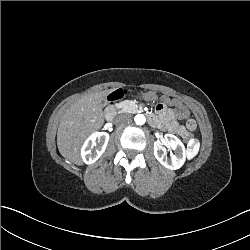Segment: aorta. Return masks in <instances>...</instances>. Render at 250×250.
I'll return each instance as SVG.
<instances>
[{
  "label": "aorta",
  "instance_id": "aorta-1",
  "mask_svg": "<svg viewBox=\"0 0 250 250\" xmlns=\"http://www.w3.org/2000/svg\"><path fill=\"white\" fill-rule=\"evenodd\" d=\"M134 121L137 125H143L146 122V117L143 114H137L134 117Z\"/></svg>",
  "mask_w": 250,
  "mask_h": 250
}]
</instances>
